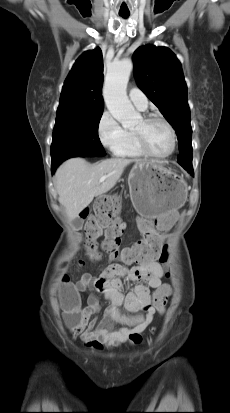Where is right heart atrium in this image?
<instances>
[{"label": "right heart atrium", "instance_id": "1", "mask_svg": "<svg viewBox=\"0 0 230 413\" xmlns=\"http://www.w3.org/2000/svg\"><path fill=\"white\" fill-rule=\"evenodd\" d=\"M97 133L102 146L113 154H117L127 137V131L109 111L102 113Z\"/></svg>", "mask_w": 230, "mask_h": 413}]
</instances>
